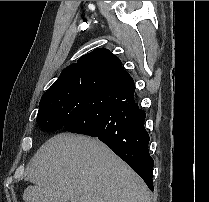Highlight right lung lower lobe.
I'll list each match as a JSON object with an SVG mask.
<instances>
[{"label": "right lung lower lobe", "mask_w": 209, "mask_h": 202, "mask_svg": "<svg viewBox=\"0 0 209 202\" xmlns=\"http://www.w3.org/2000/svg\"><path fill=\"white\" fill-rule=\"evenodd\" d=\"M135 84L123 69L91 78L85 85L77 111L63 128L97 137L123 159L153 191L154 161L149 154L146 114L134 101Z\"/></svg>", "instance_id": "98d812e1"}]
</instances>
